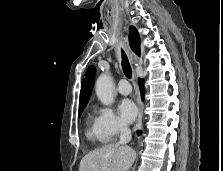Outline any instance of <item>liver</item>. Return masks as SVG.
<instances>
[{"mask_svg":"<svg viewBox=\"0 0 223 171\" xmlns=\"http://www.w3.org/2000/svg\"><path fill=\"white\" fill-rule=\"evenodd\" d=\"M135 158L136 153L131 147L106 144L85 155L79 171H128Z\"/></svg>","mask_w":223,"mask_h":171,"instance_id":"6515ba94","label":"liver"}]
</instances>
